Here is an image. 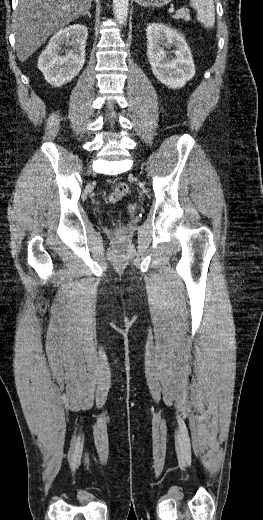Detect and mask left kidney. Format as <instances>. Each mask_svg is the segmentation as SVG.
Instances as JSON below:
<instances>
[{"label":"left kidney","instance_id":"obj_1","mask_svg":"<svg viewBox=\"0 0 263 520\" xmlns=\"http://www.w3.org/2000/svg\"><path fill=\"white\" fill-rule=\"evenodd\" d=\"M146 35L147 56L154 76L169 88H182L195 75L192 54L184 37L161 23L149 24ZM170 45L176 47L173 59H168L164 50Z\"/></svg>","mask_w":263,"mask_h":520}]
</instances>
